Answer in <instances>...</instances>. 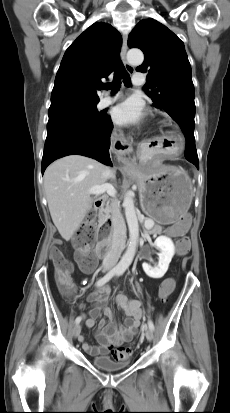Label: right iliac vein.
Instances as JSON below:
<instances>
[{"label": "right iliac vein", "mask_w": 230, "mask_h": 413, "mask_svg": "<svg viewBox=\"0 0 230 413\" xmlns=\"http://www.w3.org/2000/svg\"><path fill=\"white\" fill-rule=\"evenodd\" d=\"M73 336L76 338V337H78L79 335H80V332H81V326H80V324H76L74 327H73Z\"/></svg>", "instance_id": "63e3f726"}]
</instances>
